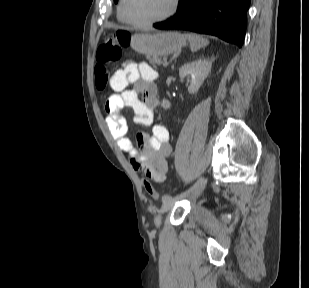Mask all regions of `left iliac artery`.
Wrapping results in <instances>:
<instances>
[{"instance_id":"1","label":"left iliac artery","mask_w":309,"mask_h":288,"mask_svg":"<svg viewBox=\"0 0 309 288\" xmlns=\"http://www.w3.org/2000/svg\"><path fill=\"white\" fill-rule=\"evenodd\" d=\"M188 193H189V190H187V191L181 193L176 199L185 198V197H187ZM171 199H174V198H172V197L169 196V195H165V196H163L162 201L171 200Z\"/></svg>"}]
</instances>
